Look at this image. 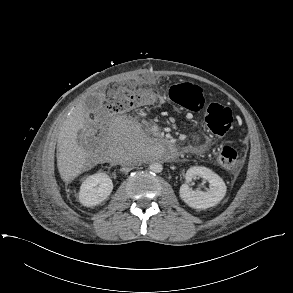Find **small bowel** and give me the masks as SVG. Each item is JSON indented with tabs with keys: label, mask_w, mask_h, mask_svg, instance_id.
<instances>
[{
	"label": "small bowel",
	"mask_w": 293,
	"mask_h": 293,
	"mask_svg": "<svg viewBox=\"0 0 293 293\" xmlns=\"http://www.w3.org/2000/svg\"><path fill=\"white\" fill-rule=\"evenodd\" d=\"M142 83L150 85L152 83V80L150 78H146L142 80ZM134 84H131V86ZM157 102L160 104H164L166 102V99L162 96H159L157 99ZM211 145V139L209 137H205L204 140L197 144V145H190L187 147V151L191 153H203L205 152Z\"/></svg>",
	"instance_id": "small-bowel-1"
}]
</instances>
